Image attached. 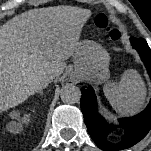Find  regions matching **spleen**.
Listing matches in <instances>:
<instances>
[{
	"mask_svg": "<svg viewBox=\"0 0 151 151\" xmlns=\"http://www.w3.org/2000/svg\"><path fill=\"white\" fill-rule=\"evenodd\" d=\"M103 91L114 110L121 114L138 111L144 98L143 82L134 70L124 71L119 81H108Z\"/></svg>",
	"mask_w": 151,
	"mask_h": 151,
	"instance_id": "3e777b00",
	"label": "spleen"
}]
</instances>
